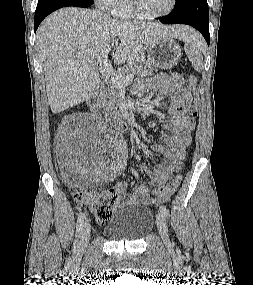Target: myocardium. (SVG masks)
Masks as SVG:
<instances>
[{
  "label": "myocardium",
  "mask_w": 253,
  "mask_h": 285,
  "mask_svg": "<svg viewBox=\"0 0 253 285\" xmlns=\"http://www.w3.org/2000/svg\"><path fill=\"white\" fill-rule=\"evenodd\" d=\"M129 4H130L131 10L133 11L135 17L140 18V19L152 20V19H159V18L169 15L175 9L177 0H171L170 7L166 11L159 13V14H148V13L143 12L139 6L138 0H129Z\"/></svg>",
  "instance_id": "1"
}]
</instances>
